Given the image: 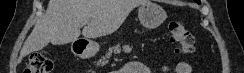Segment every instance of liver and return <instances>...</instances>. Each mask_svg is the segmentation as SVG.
Instances as JSON below:
<instances>
[{
	"mask_svg": "<svg viewBox=\"0 0 244 73\" xmlns=\"http://www.w3.org/2000/svg\"><path fill=\"white\" fill-rule=\"evenodd\" d=\"M146 0H50L45 15L25 41L19 59L49 43L67 44L82 34L94 39L114 33L130 12ZM90 22L80 31L81 24Z\"/></svg>",
	"mask_w": 244,
	"mask_h": 73,
	"instance_id": "1",
	"label": "liver"
}]
</instances>
